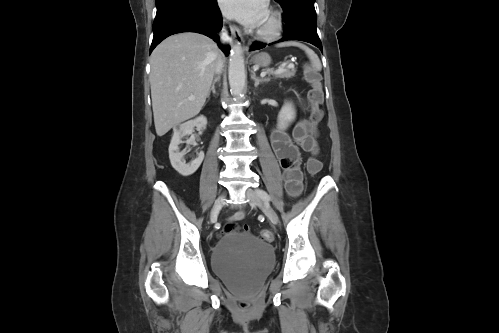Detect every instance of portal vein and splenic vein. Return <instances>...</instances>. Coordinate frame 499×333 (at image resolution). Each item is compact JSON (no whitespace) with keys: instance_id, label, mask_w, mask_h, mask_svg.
Listing matches in <instances>:
<instances>
[{"instance_id":"18ae733b","label":"portal vein and splenic vein","mask_w":499,"mask_h":333,"mask_svg":"<svg viewBox=\"0 0 499 333\" xmlns=\"http://www.w3.org/2000/svg\"><path fill=\"white\" fill-rule=\"evenodd\" d=\"M288 67H289V68H293V67H294V64L290 63V64L288 65ZM283 70H284V66H283V65H281V66H279V67H278V69L276 70V72H281V71H283ZM267 73H268V72H262V73H261V76H262V77H264V76H266V74H267ZM188 99H189V100H194V99H195V97H194V96H190Z\"/></svg>"}]
</instances>
